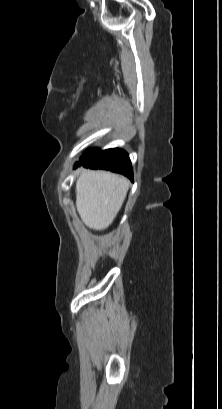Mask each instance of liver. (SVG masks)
<instances>
[{
  "label": "liver",
  "mask_w": 222,
  "mask_h": 409,
  "mask_svg": "<svg viewBox=\"0 0 222 409\" xmlns=\"http://www.w3.org/2000/svg\"><path fill=\"white\" fill-rule=\"evenodd\" d=\"M130 183L107 171L85 170L76 182V207L84 224L93 230L111 225L121 209Z\"/></svg>",
  "instance_id": "1"
}]
</instances>
